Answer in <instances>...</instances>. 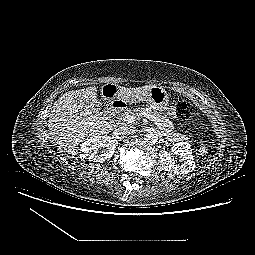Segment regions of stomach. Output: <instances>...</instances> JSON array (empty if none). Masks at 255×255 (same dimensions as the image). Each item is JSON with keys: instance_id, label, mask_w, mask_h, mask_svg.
<instances>
[{"instance_id": "1", "label": "stomach", "mask_w": 255, "mask_h": 255, "mask_svg": "<svg viewBox=\"0 0 255 255\" xmlns=\"http://www.w3.org/2000/svg\"><path fill=\"white\" fill-rule=\"evenodd\" d=\"M118 86H114V91L112 94L108 95L104 90L102 89V97L105 100L109 101H119L120 98L117 97L118 93ZM145 101L147 105L152 109L156 114L162 116L166 120L170 119L171 116V110L169 107V95L167 91L160 86H152V88L149 90L148 94L145 97Z\"/></svg>"}]
</instances>
